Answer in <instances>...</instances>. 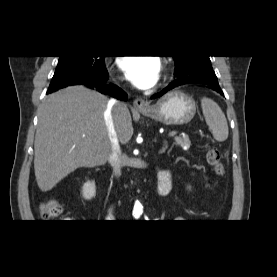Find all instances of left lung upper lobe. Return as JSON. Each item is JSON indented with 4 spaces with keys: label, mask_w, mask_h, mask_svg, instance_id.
Masks as SVG:
<instances>
[{
    "label": "left lung upper lobe",
    "mask_w": 277,
    "mask_h": 277,
    "mask_svg": "<svg viewBox=\"0 0 277 277\" xmlns=\"http://www.w3.org/2000/svg\"><path fill=\"white\" fill-rule=\"evenodd\" d=\"M175 60V73L178 78L195 74L213 73L209 56H172Z\"/></svg>",
    "instance_id": "left-lung-upper-lobe-1"
}]
</instances>
